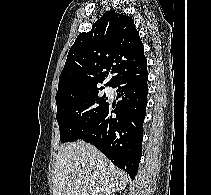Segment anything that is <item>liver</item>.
<instances>
[{
	"label": "liver",
	"mask_w": 211,
	"mask_h": 195,
	"mask_svg": "<svg viewBox=\"0 0 211 195\" xmlns=\"http://www.w3.org/2000/svg\"><path fill=\"white\" fill-rule=\"evenodd\" d=\"M128 177L93 145L84 141L61 145L53 170V195H114Z\"/></svg>",
	"instance_id": "liver-1"
}]
</instances>
